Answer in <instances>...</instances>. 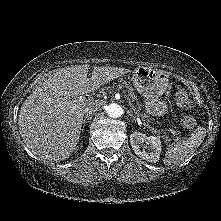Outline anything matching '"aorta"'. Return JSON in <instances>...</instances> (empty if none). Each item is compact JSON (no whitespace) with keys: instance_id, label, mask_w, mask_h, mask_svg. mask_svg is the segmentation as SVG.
<instances>
[{"instance_id":"aorta-1","label":"aorta","mask_w":221,"mask_h":221,"mask_svg":"<svg viewBox=\"0 0 221 221\" xmlns=\"http://www.w3.org/2000/svg\"><path fill=\"white\" fill-rule=\"evenodd\" d=\"M106 112L111 118H118L123 114L122 107L117 103H112L107 106Z\"/></svg>"}]
</instances>
